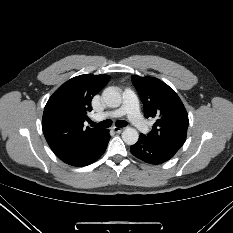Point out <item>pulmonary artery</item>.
<instances>
[{
    "instance_id": "e3ab8cb5",
    "label": "pulmonary artery",
    "mask_w": 233,
    "mask_h": 233,
    "mask_svg": "<svg viewBox=\"0 0 233 233\" xmlns=\"http://www.w3.org/2000/svg\"><path fill=\"white\" fill-rule=\"evenodd\" d=\"M127 115L129 121L140 131L146 132L148 126L140 114L139 101L135 92L127 89L123 96V105L115 110L106 111L96 116L97 119L118 118Z\"/></svg>"
}]
</instances>
